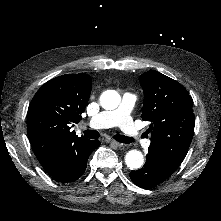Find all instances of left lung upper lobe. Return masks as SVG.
I'll list each match as a JSON object with an SVG mask.
<instances>
[{
  "mask_svg": "<svg viewBox=\"0 0 221 221\" xmlns=\"http://www.w3.org/2000/svg\"><path fill=\"white\" fill-rule=\"evenodd\" d=\"M144 90L142 119L150 121V149L178 168L189 149L195 126L193 100L175 80L157 72L140 76Z\"/></svg>",
  "mask_w": 221,
  "mask_h": 221,
  "instance_id": "1",
  "label": "left lung upper lobe"
}]
</instances>
